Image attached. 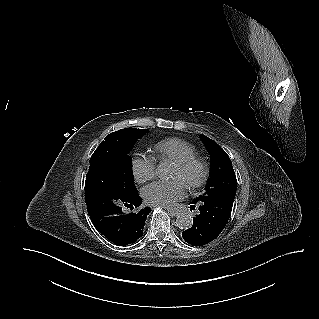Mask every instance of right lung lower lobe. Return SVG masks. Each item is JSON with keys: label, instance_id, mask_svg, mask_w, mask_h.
Masks as SVG:
<instances>
[{"label": "right lung lower lobe", "instance_id": "98d812e1", "mask_svg": "<svg viewBox=\"0 0 319 319\" xmlns=\"http://www.w3.org/2000/svg\"><path fill=\"white\" fill-rule=\"evenodd\" d=\"M85 201L96 229L119 246L136 242L143 235V227L151 209L141 208L137 189L127 190L119 174L112 169L96 173V179L85 184ZM135 212L125 214L122 208Z\"/></svg>", "mask_w": 319, "mask_h": 319}]
</instances>
